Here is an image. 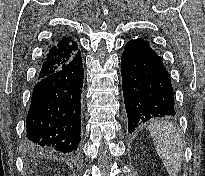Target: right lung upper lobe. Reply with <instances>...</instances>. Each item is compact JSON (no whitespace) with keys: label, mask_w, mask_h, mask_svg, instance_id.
<instances>
[{"label":"right lung upper lobe","mask_w":205,"mask_h":176,"mask_svg":"<svg viewBox=\"0 0 205 176\" xmlns=\"http://www.w3.org/2000/svg\"><path fill=\"white\" fill-rule=\"evenodd\" d=\"M78 52V45L71 36L64 35L56 39L43 59L38 79L45 77L68 63Z\"/></svg>","instance_id":"cb5924a9"}]
</instances>
